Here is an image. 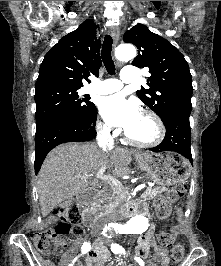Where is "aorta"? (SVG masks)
<instances>
[{
	"mask_svg": "<svg viewBox=\"0 0 221 266\" xmlns=\"http://www.w3.org/2000/svg\"><path fill=\"white\" fill-rule=\"evenodd\" d=\"M136 49L131 44H121L115 51V56L119 61H130L136 57ZM148 227V221L145 217L136 215L130 218L120 227V231L126 234H140Z\"/></svg>",
	"mask_w": 221,
	"mask_h": 266,
	"instance_id": "obj_1",
	"label": "aorta"
}]
</instances>
